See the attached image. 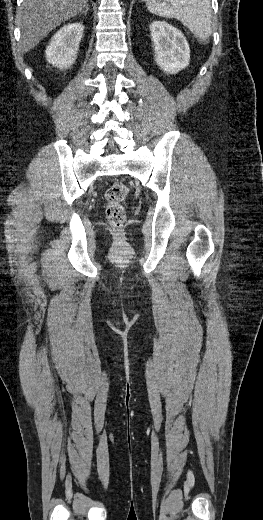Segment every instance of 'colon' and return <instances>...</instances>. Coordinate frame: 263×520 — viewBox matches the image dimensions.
<instances>
[{"label": "colon", "mask_w": 263, "mask_h": 520, "mask_svg": "<svg viewBox=\"0 0 263 520\" xmlns=\"http://www.w3.org/2000/svg\"><path fill=\"white\" fill-rule=\"evenodd\" d=\"M128 194L127 186L122 182H113L105 191V213L110 224L121 228L126 221L123 202Z\"/></svg>", "instance_id": "colon-1"}]
</instances>
